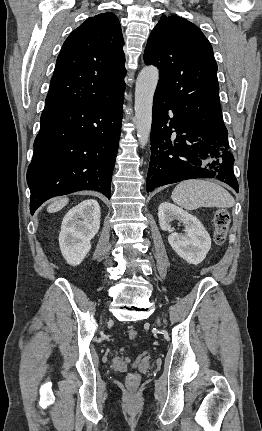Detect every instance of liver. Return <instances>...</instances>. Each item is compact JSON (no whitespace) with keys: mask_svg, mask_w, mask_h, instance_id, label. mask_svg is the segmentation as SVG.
Segmentation results:
<instances>
[{"mask_svg":"<svg viewBox=\"0 0 262 431\" xmlns=\"http://www.w3.org/2000/svg\"><path fill=\"white\" fill-rule=\"evenodd\" d=\"M69 199L68 198H60L58 200H55L54 202H52L48 207H47V211L49 213H54L57 212L59 210H61L64 206L67 205Z\"/></svg>","mask_w":262,"mask_h":431,"instance_id":"liver-1","label":"liver"}]
</instances>
